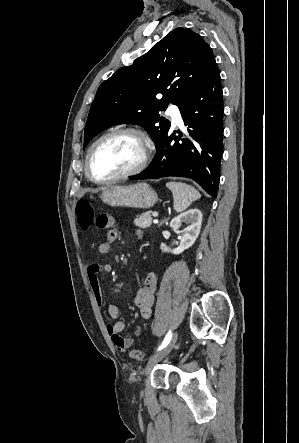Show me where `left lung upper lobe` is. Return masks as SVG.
Listing matches in <instances>:
<instances>
[{
  "label": "left lung upper lobe",
  "instance_id": "5c2ea615",
  "mask_svg": "<svg viewBox=\"0 0 299 443\" xmlns=\"http://www.w3.org/2000/svg\"><path fill=\"white\" fill-rule=\"evenodd\" d=\"M215 63L200 35L191 29H174L99 86L85 127L84 147L101 131L121 123L144 127L158 147L170 129L169 120L160 117L159 111L169 103L180 107ZM158 93L163 94L161 99L156 98Z\"/></svg>",
  "mask_w": 299,
  "mask_h": 443
}]
</instances>
